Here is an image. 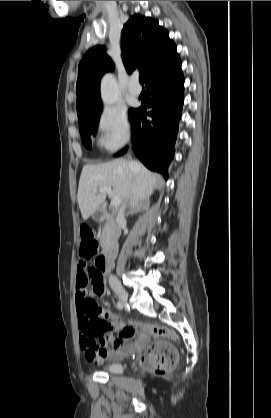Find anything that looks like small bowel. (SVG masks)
<instances>
[{
    "label": "small bowel",
    "mask_w": 271,
    "mask_h": 418,
    "mask_svg": "<svg viewBox=\"0 0 271 418\" xmlns=\"http://www.w3.org/2000/svg\"><path fill=\"white\" fill-rule=\"evenodd\" d=\"M104 293L102 268L80 261L75 291L80 347L85 358L96 364L108 359H122L143 348L147 342L144 327L103 313V306L95 297H102ZM114 332H119V337ZM131 338H135L134 342L128 343Z\"/></svg>",
    "instance_id": "obj_1"
}]
</instances>
